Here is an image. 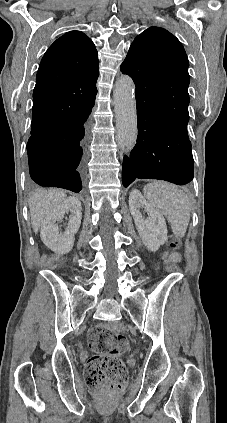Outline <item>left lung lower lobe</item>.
Wrapping results in <instances>:
<instances>
[{"label": "left lung lower lobe", "instance_id": "left-lung-lower-lobe-1", "mask_svg": "<svg viewBox=\"0 0 227 423\" xmlns=\"http://www.w3.org/2000/svg\"><path fill=\"white\" fill-rule=\"evenodd\" d=\"M137 100V143L123 159L122 182L159 179L184 185L193 179L194 162L188 137V112L154 111Z\"/></svg>", "mask_w": 227, "mask_h": 423}]
</instances>
